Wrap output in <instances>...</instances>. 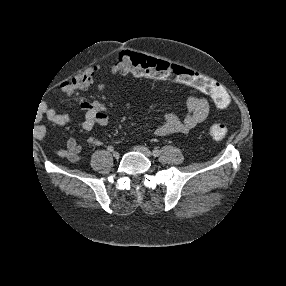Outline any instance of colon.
<instances>
[{
  "label": "colon",
  "mask_w": 286,
  "mask_h": 286,
  "mask_svg": "<svg viewBox=\"0 0 286 286\" xmlns=\"http://www.w3.org/2000/svg\"><path fill=\"white\" fill-rule=\"evenodd\" d=\"M111 71L114 74L131 73L156 79H177L192 84L197 89L210 95L214 104L219 109H226L230 104V98L226 89L218 82L195 71L179 66H172L164 61L140 53L130 51L120 52ZM95 73V69L85 70L63 84L61 92L65 95H71L77 91L86 89L92 84ZM227 134L228 127L223 123L215 122L208 128V135L214 140H223Z\"/></svg>",
  "instance_id": "colon-1"
}]
</instances>
